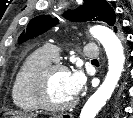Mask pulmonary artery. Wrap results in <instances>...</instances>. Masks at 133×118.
Segmentation results:
<instances>
[{"mask_svg": "<svg viewBox=\"0 0 133 118\" xmlns=\"http://www.w3.org/2000/svg\"><path fill=\"white\" fill-rule=\"evenodd\" d=\"M43 50L53 59L58 57V48L54 45H46ZM84 54L87 58L97 59L99 57V49L95 44H86L84 46Z\"/></svg>", "mask_w": 133, "mask_h": 118, "instance_id": "e3ab8cb5", "label": "pulmonary artery"}]
</instances>
